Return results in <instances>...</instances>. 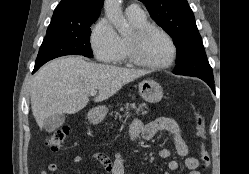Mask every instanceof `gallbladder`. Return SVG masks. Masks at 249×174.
Returning <instances> with one entry per match:
<instances>
[{
	"mask_svg": "<svg viewBox=\"0 0 249 174\" xmlns=\"http://www.w3.org/2000/svg\"><path fill=\"white\" fill-rule=\"evenodd\" d=\"M65 122L64 114H54L48 117L43 123V129L47 132H53Z\"/></svg>",
	"mask_w": 249,
	"mask_h": 174,
	"instance_id": "obj_1",
	"label": "gallbladder"
}]
</instances>
